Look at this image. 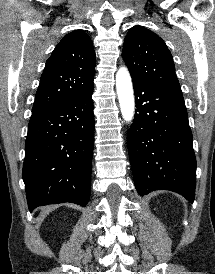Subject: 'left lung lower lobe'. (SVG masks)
I'll return each mask as SVG.
<instances>
[{
	"label": "left lung lower lobe",
	"mask_w": 215,
	"mask_h": 274,
	"mask_svg": "<svg viewBox=\"0 0 215 274\" xmlns=\"http://www.w3.org/2000/svg\"><path fill=\"white\" fill-rule=\"evenodd\" d=\"M136 112L128 152L140 196L166 189L195 198L196 158L183 97L133 79Z\"/></svg>",
	"instance_id": "1"
}]
</instances>
